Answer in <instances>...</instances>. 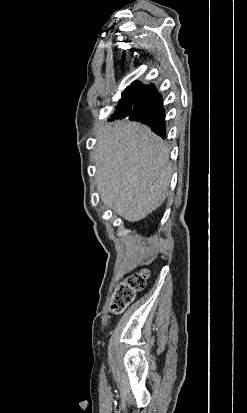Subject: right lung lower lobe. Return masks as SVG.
Instances as JSON below:
<instances>
[{
    "label": "right lung lower lobe",
    "instance_id": "right-lung-lower-lobe-1",
    "mask_svg": "<svg viewBox=\"0 0 247 413\" xmlns=\"http://www.w3.org/2000/svg\"><path fill=\"white\" fill-rule=\"evenodd\" d=\"M135 95L133 99H122L111 115L109 121L128 118L149 126L153 132L165 138V111L162 99L153 85L143 86L133 83Z\"/></svg>",
    "mask_w": 247,
    "mask_h": 413
}]
</instances>
